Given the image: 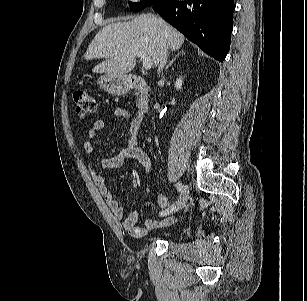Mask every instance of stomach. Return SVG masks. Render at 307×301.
I'll use <instances>...</instances> for the list:
<instances>
[{
	"instance_id": "obj_1",
	"label": "stomach",
	"mask_w": 307,
	"mask_h": 301,
	"mask_svg": "<svg viewBox=\"0 0 307 301\" xmlns=\"http://www.w3.org/2000/svg\"><path fill=\"white\" fill-rule=\"evenodd\" d=\"M98 85L108 93L123 95L129 90V79L126 75H111L106 73L99 77Z\"/></svg>"
}]
</instances>
